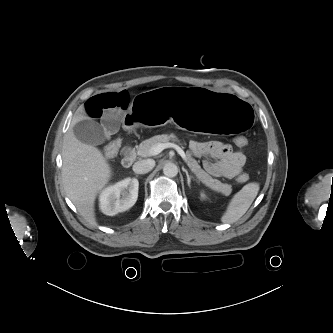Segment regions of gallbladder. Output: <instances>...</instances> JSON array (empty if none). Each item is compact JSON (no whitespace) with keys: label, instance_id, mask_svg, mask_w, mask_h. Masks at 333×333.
Listing matches in <instances>:
<instances>
[{"label":"gallbladder","instance_id":"obj_1","mask_svg":"<svg viewBox=\"0 0 333 333\" xmlns=\"http://www.w3.org/2000/svg\"><path fill=\"white\" fill-rule=\"evenodd\" d=\"M74 135L82 143L99 145L105 141L103 128L93 120H83L75 124Z\"/></svg>","mask_w":333,"mask_h":333}]
</instances>
